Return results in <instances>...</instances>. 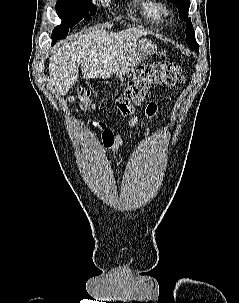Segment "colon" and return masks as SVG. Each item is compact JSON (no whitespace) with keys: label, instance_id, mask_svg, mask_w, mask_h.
<instances>
[{"label":"colon","instance_id":"colon-1","mask_svg":"<svg viewBox=\"0 0 239 303\" xmlns=\"http://www.w3.org/2000/svg\"><path fill=\"white\" fill-rule=\"evenodd\" d=\"M183 71V64L179 61L144 63L117 98L116 108L123 116L132 115L135 108L146 99L150 88L156 85L169 87L182 83ZM96 97V93L80 89L72 96V100L77 103L80 110H86L94 107Z\"/></svg>","mask_w":239,"mask_h":303}]
</instances>
